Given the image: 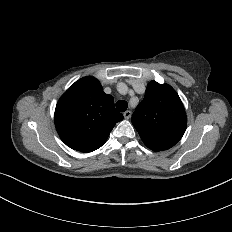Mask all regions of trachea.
<instances>
[{
	"mask_svg": "<svg viewBox=\"0 0 232 232\" xmlns=\"http://www.w3.org/2000/svg\"><path fill=\"white\" fill-rule=\"evenodd\" d=\"M127 107H128V103H127L126 101H124V100H119V101L116 103V108H117V110L120 111V112L126 111Z\"/></svg>",
	"mask_w": 232,
	"mask_h": 232,
	"instance_id": "obj_1",
	"label": "trachea"
}]
</instances>
